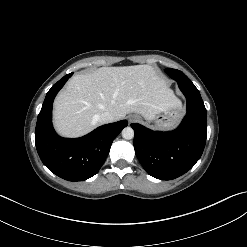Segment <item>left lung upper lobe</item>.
Wrapping results in <instances>:
<instances>
[{
	"instance_id": "left-lung-upper-lobe-1",
	"label": "left lung upper lobe",
	"mask_w": 247,
	"mask_h": 247,
	"mask_svg": "<svg viewBox=\"0 0 247 247\" xmlns=\"http://www.w3.org/2000/svg\"><path fill=\"white\" fill-rule=\"evenodd\" d=\"M166 72L170 77H172L175 80L177 79V77L188 78L183 72L176 69L168 68L166 69Z\"/></svg>"
}]
</instances>
